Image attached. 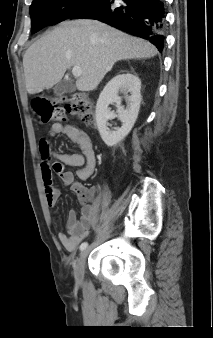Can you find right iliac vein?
<instances>
[{"mask_svg": "<svg viewBox=\"0 0 213 338\" xmlns=\"http://www.w3.org/2000/svg\"><path fill=\"white\" fill-rule=\"evenodd\" d=\"M88 252H89V249H86L84 250L76 265H75V268H74V278L76 280L77 283H81L83 281V275H84V266H85V263H86V258L88 256Z\"/></svg>", "mask_w": 213, "mask_h": 338, "instance_id": "right-iliac-vein-1", "label": "right iliac vein"}]
</instances>
